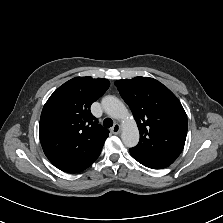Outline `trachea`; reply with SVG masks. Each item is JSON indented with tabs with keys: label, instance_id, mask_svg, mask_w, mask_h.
<instances>
[{
	"label": "trachea",
	"instance_id": "trachea-1",
	"mask_svg": "<svg viewBox=\"0 0 223 223\" xmlns=\"http://www.w3.org/2000/svg\"><path fill=\"white\" fill-rule=\"evenodd\" d=\"M103 125H104V127H106V128H110V127H112V126H113V121H112V119H110V118H106V119L103 121Z\"/></svg>",
	"mask_w": 223,
	"mask_h": 223
}]
</instances>
